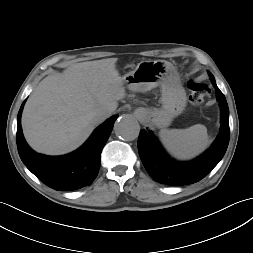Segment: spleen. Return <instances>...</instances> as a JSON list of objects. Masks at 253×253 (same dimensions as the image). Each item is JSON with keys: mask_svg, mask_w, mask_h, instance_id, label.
Segmentation results:
<instances>
[{"mask_svg": "<svg viewBox=\"0 0 253 253\" xmlns=\"http://www.w3.org/2000/svg\"><path fill=\"white\" fill-rule=\"evenodd\" d=\"M159 135L165 148L179 159L193 158L210 144L207 128L201 124L186 129H162Z\"/></svg>", "mask_w": 253, "mask_h": 253, "instance_id": "3e777b00", "label": "spleen"}]
</instances>
